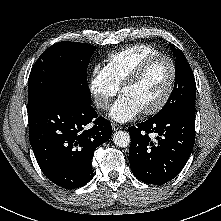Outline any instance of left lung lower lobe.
<instances>
[{
    "label": "left lung lower lobe",
    "instance_id": "obj_1",
    "mask_svg": "<svg viewBox=\"0 0 221 221\" xmlns=\"http://www.w3.org/2000/svg\"><path fill=\"white\" fill-rule=\"evenodd\" d=\"M195 111L182 109L167 117L150 118L128 129L131 137L129 162L141 181L166 183L185 166L195 141ZM156 134V141L150 134Z\"/></svg>",
    "mask_w": 221,
    "mask_h": 221
}]
</instances>
